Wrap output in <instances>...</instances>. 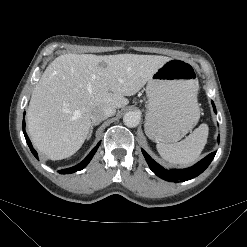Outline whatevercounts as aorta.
Instances as JSON below:
<instances>
[{"label":"aorta","instance_id":"1","mask_svg":"<svg viewBox=\"0 0 247 247\" xmlns=\"http://www.w3.org/2000/svg\"><path fill=\"white\" fill-rule=\"evenodd\" d=\"M123 122L127 127H136L140 122V115L135 111H129L124 115Z\"/></svg>","mask_w":247,"mask_h":247}]
</instances>
